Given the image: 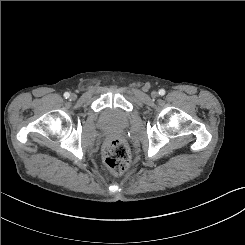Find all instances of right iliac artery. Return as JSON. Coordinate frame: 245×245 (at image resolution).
I'll use <instances>...</instances> for the list:
<instances>
[{"label": "right iliac artery", "instance_id": "82829eb1", "mask_svg": "<svg viewBox=\"0 0 245 245\" xmlns=\"http://www.w3.org/2000/svg\"><path fill=\"white\" fill-rule=\"evenodd\" d=\"M69 96H70V94L68 93V92H65L64 93V97L67 99V98H69Z\"/></svg>", "mask_w": 245, "mask_h": 245}]
</instances>
